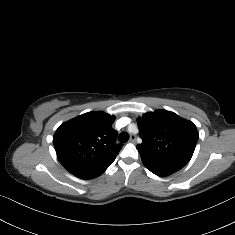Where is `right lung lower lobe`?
<instances>
[{"mask_svg": "<svg viewBox=\"0 0 235 235\" xmlns=\"http://www.w3.org/2000/svg\"><path fill=\"white\" fill-rule=\"evenodd\" d=\"M98 177V176H97ZM93 178H95V177H93ZM82 179H92V178H82Z\"/></svg>", "mask_w": 235, "mask_h": 235, "instance_id": "obj_1", "label": "right lung lower lobe"}]
</instances>
